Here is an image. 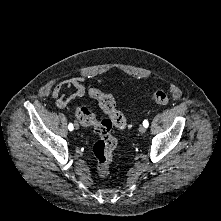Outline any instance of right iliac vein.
I'll use <instances>...</instances> for the list:
<instances>
[{
    "instance_id": "63e3f726",
    "label": "right iliac vein",
    "mask_w": 221,
    "mask_h": 221,
    "mask_svg": "<svg viewBox=\"0 0 221 221\" xmlns=\"http://www.w3.org/2000/svg\"><path fill=\"white\" fill-rule=\"evenodd\" d=\"M74 125H75V128H76V129H78V128H79L78 123H75Z\"/></svg>"
}]
</instances>
